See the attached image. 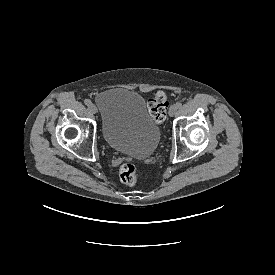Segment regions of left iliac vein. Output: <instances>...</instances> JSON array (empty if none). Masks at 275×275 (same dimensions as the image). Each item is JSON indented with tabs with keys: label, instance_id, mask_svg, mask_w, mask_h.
I'll return each instance as SVG.
<instances>
[{
	"label": "left iliac vein",
	"instance_id": "obj_1",
	"mask_svg": "<svg viewBox=\"0 0 275 275\" xmlns=\"http://www.w3.org/2000/svg\"><path fill=\"white\" fill-rule=\"evenodd\" d=\"M176 111H177V107L175 105H171V107L169 108V115L174 116Z\"/></svg>",
	"mask_w": 275,
	"mask_h": 275
}]
</instances>
